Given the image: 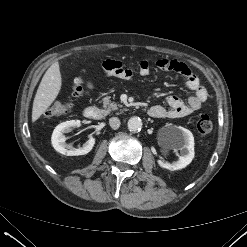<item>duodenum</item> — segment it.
Masks as SVG:
<instances>
[{"mask_svg": "<svg viewBox=\"0 0 247 247\" xmlns=\"http://www.w3.org/2000/svg\"><path fill=\"white\" fill-rule=\"evenodd\" d=\"M83 115L87 119H91V120H100L103 117L102 111L95 106L86 107L83 111Z\"/></svg>", "mask_w": 247, "mask_h": 247, "instance_id": "obj_1", "label": "duodenum"}]
</instances>
